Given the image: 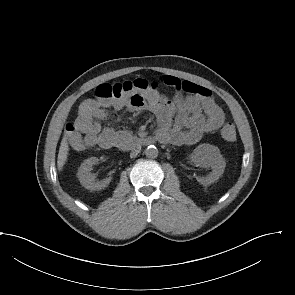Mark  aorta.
Instances as JSON below:
<instances>
[{"label":"aorta","mask_w":295,"mask_h":295,"mask_svg":"<svg viewBox=\"0 0 295 295\" xmlns=\"http://www.w3.org/2000/svg\"><path fill=\"white\" fill-rule=\"evenodd\" d=\"M158 153V149L154 145H150L145 149V155L148 158H156Z\"/></svg>","instance_id":"aorta-1"}]
</instances>
